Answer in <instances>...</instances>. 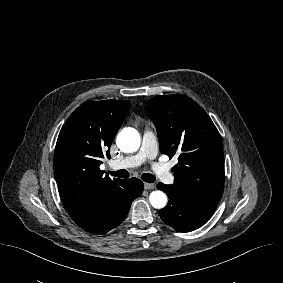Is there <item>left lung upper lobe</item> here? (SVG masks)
Listing matches in <instances>:
<instances>
[{"instance_id":"5c2ea615","label":"left lung upper lobe","mask_w":283,"mask_h":283,"mask_svg":"<svg viewBox=\"0 0 283 283\" xmlns=\"http://www.w3.org/2000/svg\"><path fill=\"white\" fill-rule=\"evenodd\" d=\"M146 111L154 122L160 151L178 163L173 186L202 202L217 205L224 183L220 134L208 114L186 95L155 96Z\"/></svg>"}]
</instances>
